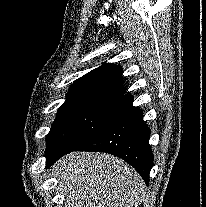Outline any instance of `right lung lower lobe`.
<instances>
[{
    "label": "right lung lower lobe",
    "instance_id": "1",
    "mask_svg": "<svg viewBox=\"0 0 206 207\" xmlns=\"http://www.w3.org/2000/svg\"><path fill=\"white\" fill-rule=\"evenodd\" d=\"M129 98L130 104L125 112L78 146L46 153V167L71 151L106 152L134 167L148 185L153 166V153L149 146L151 132L142 119V110L132 105V96Z\"/></svg>",
    "mask_w": 206,
    "mask_h": 207
}]
</instances>
